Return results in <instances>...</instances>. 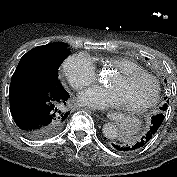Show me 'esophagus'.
Returning <instances> with one entry per match:
<instances>
[{"label": "esophagus", "mask_w": 177, "mask_h": 177, "mask_svg": "<svg viewBox=\"0 0 177 177\" xmlns=\"http://www.w3.org/2000/svg\"><path fill=\"white\" fill-rule=\"evenodd\" d=\"M102 116H103L104 118H108V117L110 116V113H109L108 111H104V112L102 113Z\"/></svg>", "instance_id": "34e87169"}]
</instances>
